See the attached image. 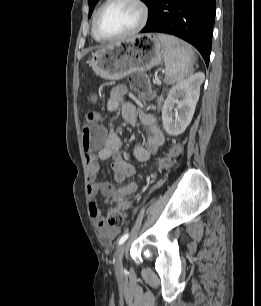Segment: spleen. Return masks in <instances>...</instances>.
<instances>
[{"mask_svg":"<svg viewBox=\"0 0 261 306\" xmlns=\"http://www.w3.org/2000/svg\"><path fill=\"white\" fill-rule=\"evenodd\" d=\"M163 46L166 67V82L178 83L184 80L193 69L195 55L186 42L167 34H157Z\"/></svg>","mask_w":261,"mask_h":306,"instance_id":"obj_1","label":"spleen"}]
</instances>
